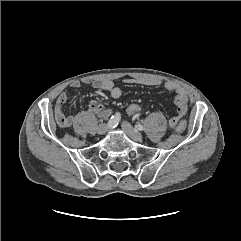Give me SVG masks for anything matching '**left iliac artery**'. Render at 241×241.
Segmentation results:
<instances>
[{
	"label": "left iliac artery",
	"instance_id": "obj_1",
	"mask_svg": "<svg viewBox=\"0 0 241 241\" xmlns=\"http://www.w3.org/2000/svg\"><path fill=\"white\" fill-rule=\"evenodd\" d=\"M135 127H136L138 130H140V131L144 130V127H143L141 124H139V123L136 124Z\"/></svg>",
	"mask_w": 241,
	"mask_h": 241
}]
</instances>
